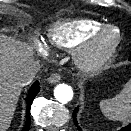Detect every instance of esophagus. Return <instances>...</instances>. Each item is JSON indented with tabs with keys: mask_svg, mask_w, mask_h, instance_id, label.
Wrapping results in <instances>:
<instances>
[{
	"mask_svg": "<svg viewBox=\"0 0 131 131\" xmlns=\"http://www.w3.org/2000/svg\"><path fill=\"white\" fill-rule=\"evenodd\" d=\"M48 82L51 84L58 83L61 80V75L58 73H54L48 77Z\"/></svg>",
	"mask_w": 131,
	"mask_h": 131,
	"instance_id": "esophagus-1",
	"label": "esophagus"
}]
</instances>
